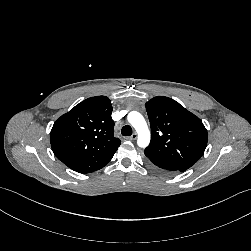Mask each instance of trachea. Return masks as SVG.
I'll return each mask as SVG.
<instances>
[{"mask_svg":"<svg viewBox=\"0 0 251 251\" xmlns=\"http://www.w3.org/2000/svg\"><path fill=\"white\" fill-rule=\"evenodd\" d=\"M121 133L123 136H130L132 135V128L129 125H125L122 128Z\"/></svg>","mask_w":251,"mask_h":251,"instance_id":"obj_1","label":"trachea"}]
</instances>
